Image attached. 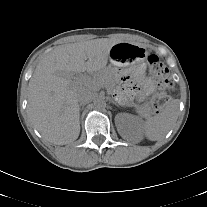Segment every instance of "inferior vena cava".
I'll use <instances>...</instances> for the list:
<instances>
[{
    "mask_svg": "<svg viewBox=\"0 0 207 207\" xmlns=\"http://www.w3.org/2000/svg\"><path fill=\"white\" fill-rule=\"evenodd\" d=\"M95 98V94L91 89L88 88H80L77 92V100L80 104H87L93 101Z\"/></svg>",
    "mask_w": 207,
    "mask_h": 207,
    "instance_id": "602c4592",
    "label": "inferior vena cava"
}]
</instances>
